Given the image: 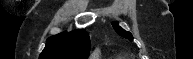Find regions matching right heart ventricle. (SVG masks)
Here are the masks:
<instances>
[{
    "mask_svg": "<svg viewBox=\"0 0 193 59\" xmlns=\"http://www.w3.org/2000/svg\"><path fill=\"white\" fill-rule=\"evenodd\" d=\"M110 59H125L123 57H117V58H110Z\"/></svg>",
    "mask_w": 193,
    "mask_h": 59,
    "instance_id": "obj_1",
    "label": "right heart ventricle"
}]
</instances>
